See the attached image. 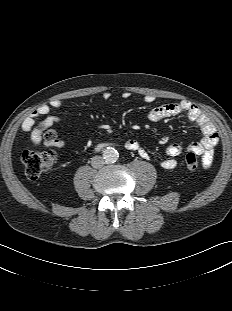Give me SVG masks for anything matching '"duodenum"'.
Returning <instances> with one entry per match:
<instances>
[{
  "instance_id": "obj_1",
  "label": "duodenum",
  "mask_w": 232,
  "mask_h": 311,
  "mask_svg": "<svg viewBox=\"0 0 232 311\" xmlns=\"http://www.w3.org/2000/svg\"><path fill=\"white\" fill-rule=\"evenodd\" d=\"M105 146H107V144H101V145H99V148H102V147H105Z\"/></svg>"
}]
</instances>
